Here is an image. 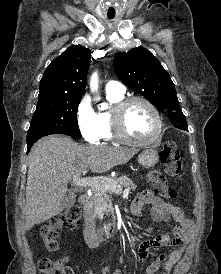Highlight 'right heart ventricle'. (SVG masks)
Wrapping results in <instances>:
<instances>
[{
	"mask_svg": "<svg viewBox=\"0 0 221 274\" xmlns=\"http://www.w3.org/2000/svg\"><path fill=\"white\" fill-rule=\"evenodd\" d=\"M123 99L124 94L107 92V100L109 101L111 108L109 110L100 111L97 114L101 125V139L106 141L115 140L112 129L111 112L114 105H116Z\"/></svg>",
	"mask_w": 221,
	"mask_h": 274,
	"instance_id": "obj_1",
	"label": "right heart ventricle"
}]
</instances>
